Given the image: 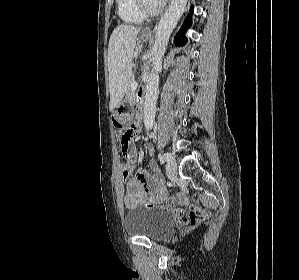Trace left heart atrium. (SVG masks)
I'll return each mask as SVG.
<instances>
[{
    "label": "left heart atrium",
    "mask_w": 299,
    "mask_h": 280,
    "mask_svg": "<svg viewBox=\"0 0 299 280\" xmlns=\"http://www.w3.org/2000/svg\"><path fill=\"white\" fill-rule=\"evenodd\" d=\"M158 4H163L166 0H155Z\"/></svg>",
    "instance_id": "1"
}]
</instances>
